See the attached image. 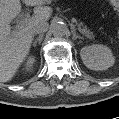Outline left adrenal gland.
<instances>
[{
    "instance_id": "a2214340",
    "label": "left adrenal gland",
    "mask_w": 119,
    "mask_h": 119,
    "mask_svg": "<svg viewBox=\"0 0 119 119\" xmlns=\"http://www.w3.org/2000/svg\"><path fill=\"white\" fill-rule=\"evenodd\" d=\"M77 38H79V39H83L82 36L77 35L76 32H73V39L75 40V39H77Z\"/></svg>"
}]
</instances>
